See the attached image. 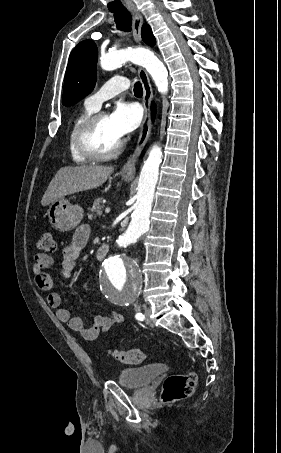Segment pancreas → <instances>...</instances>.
Listing matches in <instances>:
<instances>
[{"mask_svg":"<svg viewBox=\"0 0 281 453\" xmlns=\"http://www.w3.org/2000/svg\"><path fill=\"white\" fill-rule=\"evenodd\" d=\"M103 202V198L99 196V198H95L92 206H89L88 210V218H97V216H104L102 208H104V204H100Z\"/></svg>","mask_w":281,"mask_h":453,"instance_id":"obj_1","label":"pancreas"}]
</instances>
